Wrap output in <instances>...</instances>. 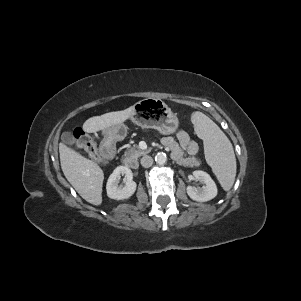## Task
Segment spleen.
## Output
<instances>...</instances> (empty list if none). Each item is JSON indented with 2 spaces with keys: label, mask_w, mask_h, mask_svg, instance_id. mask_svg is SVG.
I'll use <instances>...</instances> for the list:
<instances>
[{
  "label": "spleen",
  "mask_w": 301,
  "mask_h": 301,
  "mask_svg": "<svg viewBox=\"0 0 301 301\" xmlns=\"http://www.w3.org/2000/svg\"><path fill=\"white\" fill-rule=\"evenodd\" d=\"M191 121L204 140L205 157L225 191L233 186L236 176V158L231 142L222 130L205 114L192 113Z\"/></svg>",
  "instance_id": "3e777b00"
}]
</instances>
